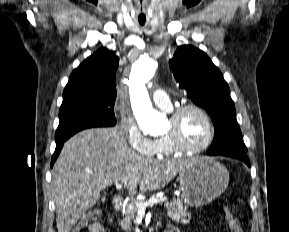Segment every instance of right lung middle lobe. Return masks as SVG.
Masks as SVG:
<instances>
[{"label":"right lung middle lobe","instance_id":"1","mask_svg":"<svg viewBox=\"0 0 289 232\" xmlns=\"http://www.w3.org/2000/svg\"><path fill=\"white\" fill-rule=\"evenodd\" d=\"M116 98L105 96L79 97L63 102L59 111L56 144L66 141L75 133L93 127H112L116 124Z\"/></svg>","mask_w":289,"mask_h":232}]
</instances>
